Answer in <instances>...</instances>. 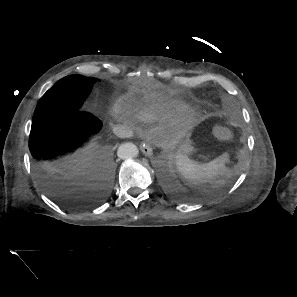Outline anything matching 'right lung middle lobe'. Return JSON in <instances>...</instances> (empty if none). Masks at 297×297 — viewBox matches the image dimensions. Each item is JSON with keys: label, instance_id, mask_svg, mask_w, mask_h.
I'll list each match as a JSON object with an SVG mask.
<instances>
[{"label": "right lung middle lobe", "instance_id": "1", "mask_svg": "<svg viewBox=\"0 0 297 297\" xmlns=\"http://www.w3.org/2000/svg\"><path fill=\"white\" fill-rule=\"evenodd\" d=\"M96 80L98 79L81 75H71L59 80L38 102L32 122L46 119L58 108L71 105L81 107Z\"/></svg>", "mask_w": 297, "mask_h": 297}]
</instances>
